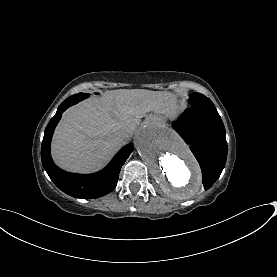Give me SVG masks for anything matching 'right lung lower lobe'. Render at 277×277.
Listing matches in <instances>:
<instances>
[{
	"instance_id": "obj_1",
	"label": "right lung lower lobe",
	"mask_w": 277,
	"mask_h": 277,
	"mask_svg": "<svg viewBox=\"0 0 277 277\" xmlns=\"http://www.w3.org/2000/svg\"><path fill=\"white\" fill-rule=\"evenodd\" d=\"M67 99L61 103L45 129L41 146L43 167L55 185L66 194L83 199L102 197L116 187L121 167L132 152L133 145L124 146L103 170L95 174L79 175L58 168L50 155V143L62 113L75 102V100L67 101Z\"/></svg>"
}]
</instances>
